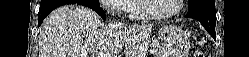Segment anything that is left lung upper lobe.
<instances>
[{"mask_svg": "<svg viewBox=\"0 0 249 57\" xmlns=\"http://www.w3.org/2000/svg\"><path fill=\"white\" fill-rule=\"evenodd\" d=\"M205 5H215V0H189V11H193Z\"/></svg>", "mask_w": 249, "mask_h": 57, "instance_id": "obj_1", "label": "left lung upper lobe"}]
</instances>
